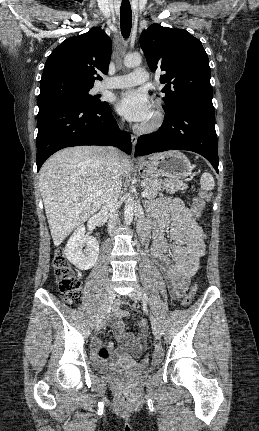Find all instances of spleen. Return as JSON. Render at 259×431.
<instances>
[{
    "mask_svg": "<svg viewBox=\"0 0 259 431\" xmlns=\"http://www.w3.org/2000/svg\"><path fill=\"white\" fill-rule=\"evenodd\" d=\"M201 188L203 190H212L215 186L214 178L210 173H203L200 180Z\"/></svg>",
    "mask_w": 259,
    "mask_h": 431,
    "instance_id": "1",
    "label": "spleen"
}]
</instances>
